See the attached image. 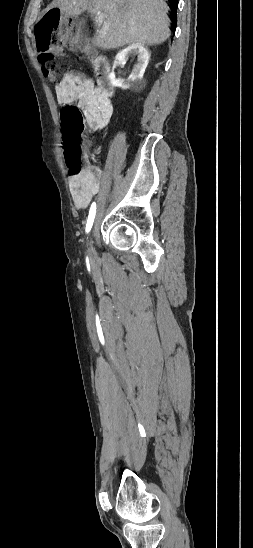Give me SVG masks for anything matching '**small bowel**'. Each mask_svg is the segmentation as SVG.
Here are the masks:
<instances>
[{"label":"small bowel","mask_w":253,"mask_h":548,"mask_svg":"<svg viewBox=\"0 0 253 548\" xmlns=\"http://www.w3.org/2000/svg\"><path fill=\"white\" fill-rule=\"evenodd\" d=\"M55 94L61 105L77 104L84 112L91 131H100L108 124L112 115L111 102L84 73H66L62 82L55 87ZM100 184L99 172L87 161L81 174L69 178L70 193L75 207H88L92 198L99 192Z\"/></svg>","instance_id":"c3829d8e"}]
</instances>
